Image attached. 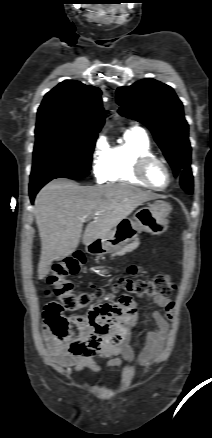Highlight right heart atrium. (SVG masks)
<instances>
[{"instance_id": "1", "label": "right heart atrium", "mask_w": 212, "mask_h": 438, "mask_svg": "<svg viewBox=\"0 0 212 438\" xmlns=\"http://www.w3.org/2000/svg\"><path fill=\"white\" fill-rule=\"evenodd\" d=\"M108 143L104 135H100L94 144L92 152V171L95 178L102 182L107 172Z\"/></svg>"}]
</instances>
